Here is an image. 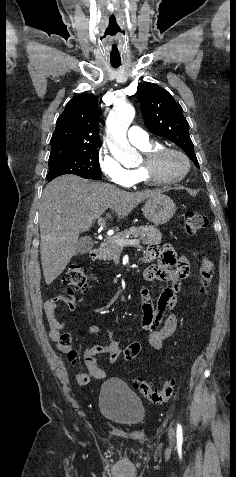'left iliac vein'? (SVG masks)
I'll use <instances>...</instances> for the list:
<instances>
[{
  "instance_id": "1",
  "label": "left iliac vein",
  "mask_w": 236,
  "mask_h": 477,
  "mask_svg": "<svg viewBox=\"0 0 236 477\" xmlns=\"http://www.w3.org/2000/svg\"><path fill=\"white\" fill-rule=\"evenodd\" d=\"M169 438L172 443L174 441V430L172 428L169 430Z\"/></svg>"
}]
</instances>
